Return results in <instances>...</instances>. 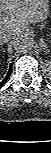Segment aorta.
Masks as SVG:
<instances>
[{"mask_svg":"<svg viewBox=\"0 0 51 153\" xmlns=\"http://www.w3.org/2000/svg\"><path fill=\"white\" fill-rule=\"evenodd\" d=\"M34 45V40L31 36L24 34L17 37L13 42V48L16 52L27 53Z\"/></svg>","mask_w":51,"mask_h":153,"instance_id":"aorta-1","label":"aorta"}]
</instances>
